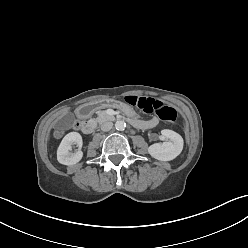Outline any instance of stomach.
I'll list each match as a JSON object with an SVG mask.
<instances>
[{
	"instance_id": "0dacf381",
	"label": "stomach",
	"mask_w": 248,
	"mask_h": 248,
	"mask_svg": "<svg viewBox=\"0 0 248 248\" xmlns=\"http://www.w3.org/2000/svg\"><path fill=\"white\" fill-rule=\"evenodd\" d=\"M101 107H115L120 113L124 114L129 120L135 119V113L128 105H124L120 100H99L89 105L90 111H95Z\"/></svg>"
}]
</instances>
